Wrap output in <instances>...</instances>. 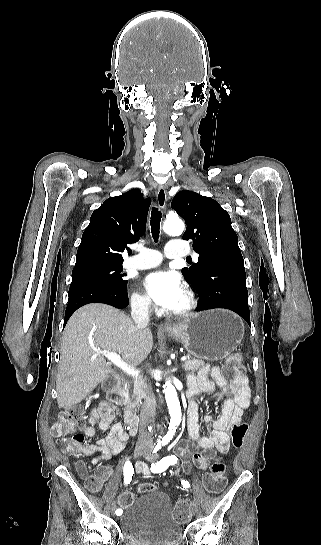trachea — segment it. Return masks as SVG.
<instances>
[{
	"label": "trachea",
	"instance_id": "trachea-1",
	"mask_svg": "<svg viewBox=\"0 0 321 545\" xmlns=\"http://www.w3.org/2000/svg\"><path fill=\"white\" fill-rule=\"evenodd\" d=\"M161 218V212L158 210V208L153 207L151 211L150 226L152 237L156 243L159 239Z\"/></svg>",
	"mask_w": 321,
	"mask_h": 545
}]
</instances>
